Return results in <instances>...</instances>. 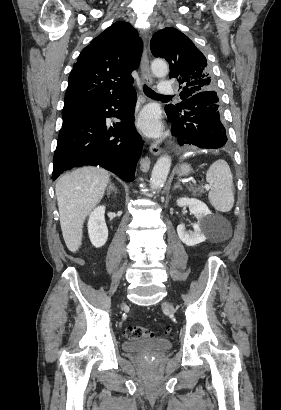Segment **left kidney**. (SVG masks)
Segmentation results:
<instances>
[{"label": "left kidney", "mask_w": 281, "mask_h": 410, "mask_svg": "<svg viewBox=\"0 0 281 410\" xmlns=\"http://www.w3.org/2000/svg\"><path fill=\"white\" fill-rule=\"evenodd\" d=\"M179 207L188 206L190 212L197 218L198 222L193 225V231H186L185 226H177V233L180 240L187 246H195L206 240L205 230L211 221V211L207 205L195 198H179L176 201Z\"/></svg>", "instance_id": "5707ae66"}]
</instances>
